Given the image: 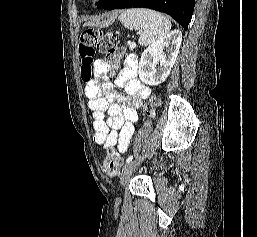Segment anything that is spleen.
Masks as SVG:
<instances>
[{"mask_svg": "<svg viewBox=\"0 0 257 237\" xmlns=\"http://www.w3.org/2000/svg\"><path fill=\"white\" fill-rule=\"evenodd\" d=\"M130 30H140L139 44L147 46L166 36L171 30V22L162 14L149 9H129L118 17Z\"/></svg>", "mask_w": 257, "mask_h": 237, "instance_id": "spleen-1", "label": "spleen"}]
</instances>
